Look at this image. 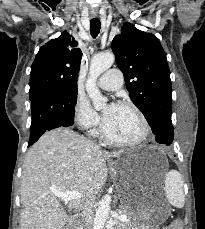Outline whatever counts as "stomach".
Returning a JSON list of instances; mask_svg holds the SVG:
<instances>
[{"instance_id": "0dacf381", "label": "stomach", "mask_w": 205, "mask_h": 229, "mask_svg": "<svg viewBox=\"0 0 205 229\" xmlns=\"http://www.w3.org/2000/svg\"><path fill=\"white\" fill-rule=\"evenodd\" d=\"M157 165L154 149L148 146L125 152L111 164V176L125 208L138 225L137 229H156L167 216L166 210L161 206L162 202H155L143 193L144 177L149 167ZM167 166L165 160V164L161 166V175Z\"/></svg>"}]
</instances>
